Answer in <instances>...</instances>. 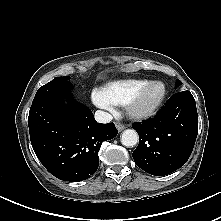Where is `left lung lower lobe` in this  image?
I'll use <instances>...</instances> for the list:
<instances>
[{"mask_svg":"<svg viewBox=\"0 0 221 221\" xmlns=\"http://www.w3.org/2000/svg\"><path fill=\"white\" fill-rule=\"evenodd\" d=\"M139 144L132 156L142 170L163 176L183 166L198 134V114L190 91L173 95L153 119L134 123Z\"/></svg>","mask_w":221,"mask_h":221,"instance_id":"1","label":"left lung lower lobe"}]
</instances>
